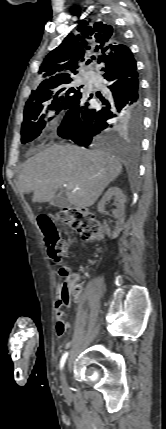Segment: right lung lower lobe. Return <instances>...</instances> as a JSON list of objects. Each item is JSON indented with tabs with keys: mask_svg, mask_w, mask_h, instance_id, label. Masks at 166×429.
<instances>
[{
	"mask_svg": "<svg viewBox=\"0 0 166 429\" xmlns=\"http://www.w3.org/2000/svg\"><path fill=\"white\" fill-rule=\"evenodd\" d=\"M103 77L108 81V91L96 96L100 106L92 109L89 99L82 93L67 110L57 133L84 147L97 144L106 131L129 130L138 135L142 127V104L139 74L136 61L129 48L122 49L98 61Z\"/></svg>",
	"mask_w": 166,
	"mask_h": 429,
	"instance_id": "1",
	"label": "right lung lower lobe"
}]
</instances>
